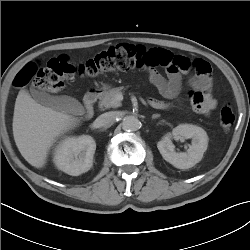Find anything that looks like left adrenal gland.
<instances>
[{
    "label": "left adrenal gland",
    "mask_w": 250,
    "mask_h": 250,
    "mask_svg": "<svg viewBox=\"0 0 250 250\" xmlns=\"http://www.w3.org/2000/svg\"><path fill=\"white\" fill-rule=\"evenodd\" d=\"M158 117H160L159 114H153V115H152V119H156V118H158Z\"/></svg>",
    "instance_id": "1"
}]
</instances>
